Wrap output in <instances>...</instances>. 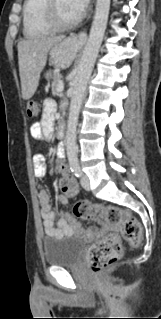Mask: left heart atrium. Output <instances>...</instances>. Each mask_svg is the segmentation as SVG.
Returning <instances> with one entry per match:
<instances>
[{
	"label": "left heart atrium",
	"mask_w": 161,
	"mask_h": 319,
	"mask_svg": "<svg viewBox=\"0 0 161 319\" xmlns=\"http://www.w3.org/2000/svg\"><path fill=\"white\" fill-rule=\"evenodd\" d=\"M72 10L79 16L83 13L90 0H68Z\"/></svg>",
	"instance_id": "1"
}]
</instances>
